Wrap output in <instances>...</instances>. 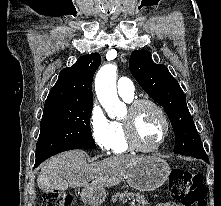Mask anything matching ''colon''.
I'll return each mask as SVG.
<instances>
[{"mask_svg": "<svg viewBox=\"0 0 221 206\" xmlns=\"http://www.w3.org/2000/svg\"><path fill=\"white\" fill-rule=\"evenodd\" d=\"M57 191V194H48L46 191L42 206H71V194ZM169 193L180 200L182 206H206V187L202 177L188 170L175 168L171 171Z\"/></svg>", "mask_w": 221, "mask_h": 206, "instance_id": "colon-1", "label": "colon"}]
</instances>
